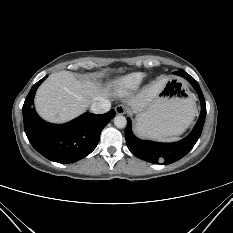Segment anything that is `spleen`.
I'll return each mask as SVG.
<instances>
[{
	"label": "spleen",
	"instance_id": "spleen-1",
	"mask_svg": "<svg viewBox=\"0 0 233 233\" xmlns=\"http://www.w3.org/2000/svg\"><path fill=\"white\" fill-rule=\"evenodd\" d=\"M135 131H136V127H135ZM177 139H178L177 137H174V138L168 139V141H174V140H177Z\"/></svg>",
	"mask_w": 233,
	"mask_h": 233
}]
</instances>
